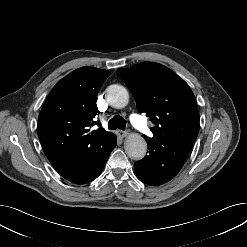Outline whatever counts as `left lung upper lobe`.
I'll return each mask as SVG.
<instances>
[{
  "instance_id": "left-lung-upper-lobe-1",
  "label": "left lung upper lobe",
  "mask_w": 247,
  "mask_h": 247,
  "mask_svg": "<svg viewBox=\"0 0 247 247\" xmlns=\"http://www.w3.org/2000/svg\"><path fill=\"white\" fill-rule=\"evenodd\" d=\"M128 85L137 109L150 117L153 138L145 139L164 145L184 143L193 147L199 132V112L188 84L169 68L143 62L117 70Z\"/></svg>"
}]
</instances>
